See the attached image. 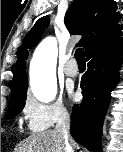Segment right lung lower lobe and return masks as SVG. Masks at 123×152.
<instances>
[{
    "label": "right lung lower lobe",
    "mask_w": 123,
    "mask_h": 152,
    "mask_svg": "<svg viewBox=\"0 0 123 152\" xmlns=\"http://www.w3.org/2000/svg\"><path fill=\"white\" fill-rule=\"evenodd\" d=\"M122 33L89 53L87 72L81 78L83 101L72 110L70 132L82 146L100 152L101 129L110 93L118 80V61L123 52Z\"/></svg>",
    "instance_id": "obj_1"
}]
</instances>
